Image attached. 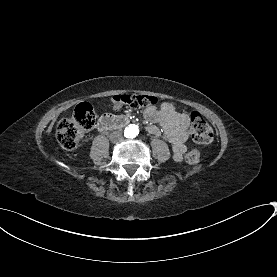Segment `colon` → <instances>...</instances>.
I'll return each instance as SVG.
<instances>
[{"label":"colon","mask_w":277,"mask_h":277,"mask_svg":"<svg viewBox=\"0 0 277 277\" xmlns=\"http://www.w3.org/2000/svg\"><path fill=\"white\" fill-rule=\"evenodd\" d=\"M155 99L150 95H116L110 99L113 108L129 106L139 109L155 104ZM76 110L69 116L63 118L56 128V139L65 150L75 149L83 135L88 132L94 124L95 112L91 107L90 99H79ZM189 134L194 141L199 143H210L214 139V132L208 122L199 114H193L190 119ZM201 159L199 151H191L185 157L186 163L196 165Z\"/></svg>","instance_id":"5ec220e1"}]
</instances>
